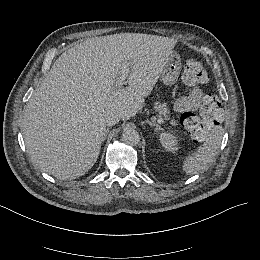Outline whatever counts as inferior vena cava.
I'll return each instance as SVG.
<instances>
[{"mask_svg": "<svg viewBox=\"0 0 260 260\" xmlns=\"http://www.w3.org/2000/svg\"><path fill=\"white\" fill-rule=\"evenodd\" d=\"M120 121V116L116 112H111L107 115L105 123L107 126H113Z\"/></svg>", "mask_w": 260, "mask_h": 260, "instance_id": "602c4592", "label": "inferior vena cava"}]
</instances>
